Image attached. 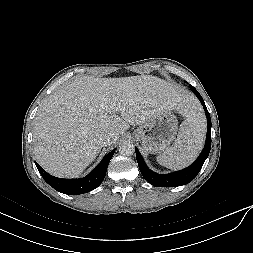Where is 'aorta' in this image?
Instances as JSON below:
<instances>
[{
    "label": "aorta",
    "mask_w": 253,
    "mask_h": 253,
    "mask_svg": "<svg viewBox=\"0 0 253 253\" xmlns=\"http://www.w3.org/2000/svg\"><path fill=\"white\" fill-rule=\"evenodd\" d=\"M135 152V146L130 141H123L119 145V153L123 156H130Z\"/></svg>",
    "instance_id": "obj_1"
}]
</instances>
